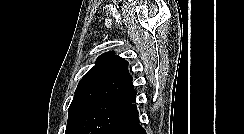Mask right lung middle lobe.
Wrapping results in <instances>:
<instances>
[{
  "label": "right lung middle lobe",
  "instance_id": "obj_1",
  "mask_svg": "<svg viewBox=\"0 0 244 134\" xmlns=\"http://www.w3.org/2000/svg\"><path fill=\"white\" fill-rule=\"evenodd\" d=\"M132 103L121 99L82 103L69 111L65 134H105Z\"/></svg>",
  "mask_w": 244,
  "mask_h": 134
}]
</instances>
